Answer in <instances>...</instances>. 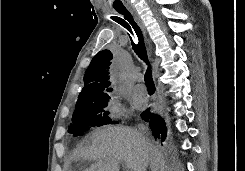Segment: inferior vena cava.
Instances as JSON below:
<instances>
[{"label": "inferior vena cava", "mask_w": 245, "mask_h": 171, "mask_svg": "<svg viewBox=\"0 0 245 171\" xmlns=\"http://www.w3.org/2000/svg\"><path fill=\"white\" fill-rule=\"evenodd\" d=\"M140 129H141L142 132H145L146 131L145 127H143V126H141ZM143 171H146V169L144 168Z\"/></svg>", "instance_id": "602c4592"}]
</instances>
